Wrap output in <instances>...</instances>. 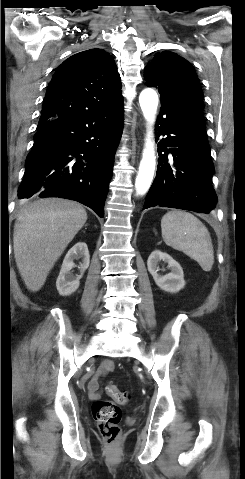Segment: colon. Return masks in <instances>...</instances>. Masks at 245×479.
I'll return each instance as SVG.
<instances>
[{"label":"colon","instance_id":"1","mask_svg":"<svg viewBox=\"0 0 245 479\" xmlns=\"http://www.w3.org/2000/svg\"><path fill=\"white\" fill-rule=\"evenodd\" d=\"M107 391L113 400H97L93 404L92 413L102 437L109 445H113L121 436L120 406L127 404L130 396L128 392L118 389L115 385H109Z\"/></svg>","mask_w":245,"mask_h":479}]
</instances>
